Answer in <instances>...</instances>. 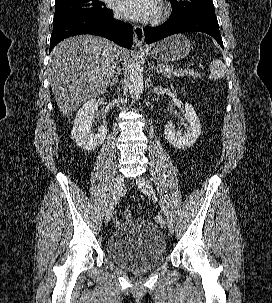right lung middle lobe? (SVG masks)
Segmentation results:
<instances>
[{
  "instance_id": "obj_1",
  "label": "right lung middle lobe",
  "mask_w": 272,
  "mask_h": 303,
  "mask_svg": "<svg viewBox=\"0 0 272 303\" xmlns=\"http://www.w3.org/2000/svg\"><path fill=\"white\" fill-rule=\"evenodd\" d=\"M112 10L107 9L100 0H62L55 2L53 22L83 13L106 14Z\"/></svg>"
}]
</instances>
